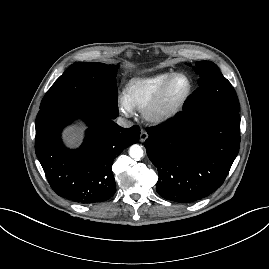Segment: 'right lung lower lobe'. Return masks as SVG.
<instances>
[{"label":"right lung lower lobe","instance_id":"98d812e1","mask_svg":"<svg viewBox=\"0 0 269 269\" xmlns=\"http://www.w3.org/2000/svg\"><path fill=\"white\" fill-rule=\"evenodd\" d=\"M77 117L85 121L88 129L80 148L70 150L63 145L60 135ZM113 119L98 109L72 102L53 103L40 109L35 152L57 195L91 204L107 201L116 192L112 161L120 151L139 141L140 128H122Z\"/></svg>","mask_w":269,"mask_h":269}]
</instances>
